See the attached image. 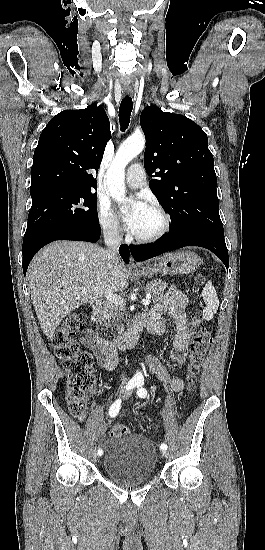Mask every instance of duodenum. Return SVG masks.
Returning a JSON list of instances; mask_svg holds the SVG:
<instances>
[{"instance_id":"obj_1","label":"duodenum","mask_w":265,"mask_h":550,"mask_svg":"<svg viewBox=\"0 0 265 550\" xmlns=\"http://www.w3.org/2000/svg\"><path fill=\"white\" fill-rule=\"evenodd\" d=\"M102 303L100 301H94L90 305V311L93 316H96L101 308ZM143 329V324L141 321H138L133 328L128 330L126 333L116 337L112 342L107 340L111 345L118 350H126L132 347L138 340Z\"/></svg>"}]
</instances>
